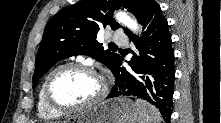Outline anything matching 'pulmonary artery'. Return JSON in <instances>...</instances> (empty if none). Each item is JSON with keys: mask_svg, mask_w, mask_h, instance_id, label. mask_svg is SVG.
<instances>
[{"mask_svg": "<svg viewBox=\"0 0 221 123\" xmlns=\"http://www.w3.org/2000/svg\"><path fill=\"white\" fill-rule=\"evenodd\" d=\"M112 40L114 41V42H117V43H126V41H127V37H126V35L123 33V32H121V31H116V32H114L113 34H112Z\"/></svg>", "mask_w": 221, "mask_h": 123, "instance_id": "obj_1", "label": "pulmonary artery"}]
</instances>
